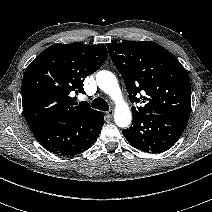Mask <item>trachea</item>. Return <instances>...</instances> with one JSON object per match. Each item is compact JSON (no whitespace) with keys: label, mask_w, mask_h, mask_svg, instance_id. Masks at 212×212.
<instances>
[{"label":"trachea","mask_w":212,"mask_h":212,"mask_svg":"<svg viewBox=\"0 0 212 212\" xmlns=\"http://www.w3.org/2000/svg\"><path fill=\"white\" fill-rule=\"evenodd\" d=\"M91 106L95 109H99V110H102V111H108L109 110L108 103L101 97L94 99Z\"/></svg>","instance_id":"trachea-1"}]
</instances>
